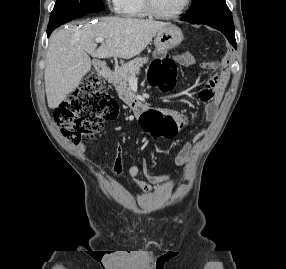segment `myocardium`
Returning a JSON list of instances; mask_svg holds the SVG:
<instances>
[{
    "mask_svg": "<svg viewBox=\"0 0 286 269\" xmlns=\"http://www.w3.org/2000/svg\"><path fill=\"white\" fill-rule=\"evenodd\" d=\"M146 13L156 19H174L181 16L190 6L191 0H185L182 7L174 13L162 14L158 12L154 6L153 0H142Z\"/></svg>",
    "mask_w": 286,
    "mask_h": 269,
    "instance_id": "f54148a6",
    "label": "myocardium"
}]
</instances>
